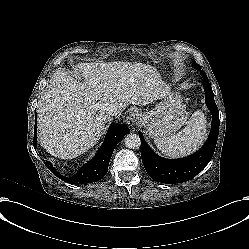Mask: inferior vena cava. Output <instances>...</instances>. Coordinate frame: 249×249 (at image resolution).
Instances as JSON below:
<instances>
[{
	"instance_id": "obj_1",
	"label": "inferior vena cava",
	"mask_w": 249,
	"mask_h": 249,
	"mask_svg": "<svg viewBox=\"0 0 249 249\" xmlns=\"http://www.w3.org/2000/svg\"><path fill=\"white\" fill-rule=\"evenodd\" d=\"M121 116V112L116 108V107H111L108 110V114H107V121H111L114 118L115 119H119Z\"/></svg>"
}]
</instances>
